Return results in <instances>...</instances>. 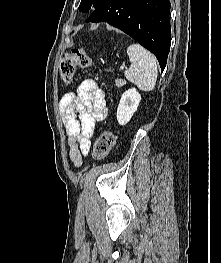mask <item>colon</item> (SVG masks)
Listing matches in <instances>:
<instances>
[{
	"instance_id": "1",
	"label": "colon",
	"mask_w": 221,
	"mask_h": 263,
	"mask_svg": "<svg viewBox=\"0 0 221 263\" xmlns=\"http://www.w3.org/2000/svg\"><path fill=\"white\" fill-rule=\"evenodd\" d=\"M92 65V60L89 54L81 48H72L66 53L60 63V74L65 82H69L75 73L76 67L88 68ZM115 141V135L112 131L106 130L97 138L94 148L93 157L102 159L106 157Z\"/></svg>"
}]
</instances>
